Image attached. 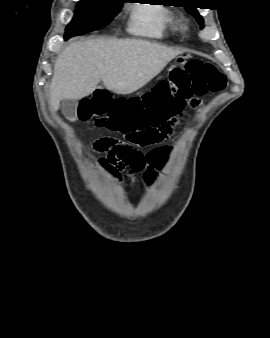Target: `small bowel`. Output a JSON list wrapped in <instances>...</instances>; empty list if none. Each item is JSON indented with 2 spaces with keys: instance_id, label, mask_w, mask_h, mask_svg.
I'll list each match as a JSON object with an SVG mask.
<instances>
[{
  "instance_id": "1",
  "label": "small bowel",
  "mask_w": 270,
  "mask_h": 338,
  "mask_svg": "<svg viewBox=\"0 0 270 338\" xmlns=\"http://www.w3.org/2000/svg\"><path fill=\"white\" fill-rule=\"evenodd\" d=\"M90 148L94 150H98L100 152H104L106 155L102 158V165L105 168L113 169L118 164L124 162L127 158V152L132 149L127 144H124L120 141H117L113 137L108 136H100L95 138L90 143ZM163 157H159L157 168H161V162Z\"/></svg>"
}]
</instances>
